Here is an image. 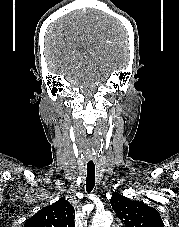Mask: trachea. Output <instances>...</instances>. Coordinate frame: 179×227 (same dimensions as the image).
Wrapping results in <instances>:
<instances>
[{
  "mask_svg": "<svg viewBox=\"0 0 179 227\" xmlns=\"http://www.w3.org/2000/svg\"><path fill=\"white\" fill-rule=\"evenodd\" d=\"M87 164V178H86V191L90 193L95 185V165L94 161L90 159Z\"/></svg>",
  "mask_w": 179,
  "mask_h": 227,
  "instance_id": "trachea-1",
  "label": "trachea"
}]
</instances>
